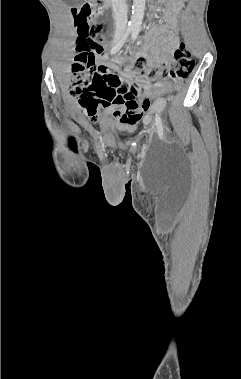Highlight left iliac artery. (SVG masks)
Wrapping results in <instances>:
<instances>
[{
    "mask_svg": "<svg viewBox=\"0 0 241 379\" xmlns=\"http://www.w3.org/2000/svg\"><path fill=\"white\" fill-rule=\"evenodd\" d=\"M138 34H139V28H134L132 30V35H131L132 41H134L136 39ZM155 123L157 126L159 138L162 139L164 130H163V124H162L161 117L158 114H156V116H155Z\"/></svg>",
    "mask_w": 241,
    "mask_h": 379,
    "instance_id": "44dca946",
    "label": "left iliac artery"
}]
</instances>
